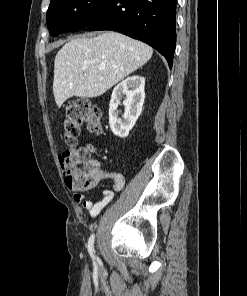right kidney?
I'll return each mask as SVG.
<instances>
[{
  "label": "right kidney",
  "instance_id": "1",
  "mask_svg": "<svg viewBox=\"0 0 247 296\" xmlns=\"http://www.w3.org/2000/svg\"><path fill=\"white\" fill-rule=\"evenodd\" d=\"M144 86L145 79L139 75H134L127 77L113 89L109 105V125L114 135L125 138L134 127L142 112L145 99ZM123 95H125L123 101L125 111L120 118L117 108L121 104Z\"/></svg>",
  "mask_w": 247,
  "mask_h": 296
}]
</instances>
